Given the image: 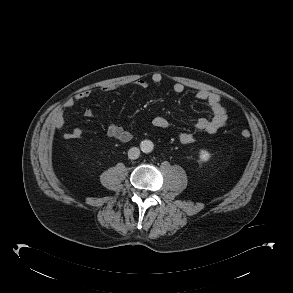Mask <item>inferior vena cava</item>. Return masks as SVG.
Returning a JSON list of instances; mask_svg holds the SVG:
<instances>
[{"mask_svg": "<svg viewBox=\"0 0 293 293\" xmlns=\"http://www.w3.org/2000/svg\"><path fill=\"white\" fill-rule=\"evenodd\" d=\"M140 155V150L137 147H132L128 151L129 159H137Z\"/></svg>", "mask_w": 293, "mask_h": 293, "instance_id": "obj_1", "label": "inferior vena cava"}]
</instances>
